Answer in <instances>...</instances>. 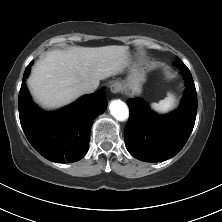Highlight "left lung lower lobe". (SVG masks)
Returning a JSON list of instances; mask_svg holds the SVG:
<instances>
[{
  "mask_svg": "<svg viewBox=\"0 0 222 222\" xmlns=\"http://www.w3.org/2000/svg\"><path fill=\"white\" fill-rule=\"evenodd\" d=\"M185 94L177 111L161 116L139 99H128L130 118L124 130L129 153L145 162H159L175 156L187 142L196 119L197 93L189 70Z\"/></svg>",
  "mask_w": 222,
  "mask_h": 222,
  "instance_id": "1",
  "label": "left lung lower lobe"
}]
</instances>
